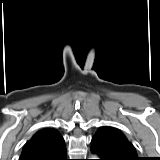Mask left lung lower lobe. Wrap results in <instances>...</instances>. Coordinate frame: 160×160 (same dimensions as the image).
Wrapping results in <instances>:
<instances>
[{"instance_id":"1","label":"left lung lower lobe","mask_w":160,"mask_h":160,"mask_svg":"<svg viewBox=\"0 0 160 160\" xmlns=\"http://www.w3.org/2000/svg\"><path fill=\"white\" fill-rule=\"evenodd\" d=\"M91 151L99 157L98 160H122L120 157L113 154L107 148L104 141L97 135H94L91 140Z\"/></svg>"}]
</instances>
